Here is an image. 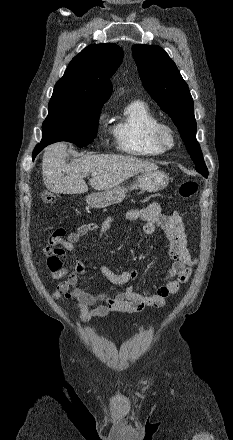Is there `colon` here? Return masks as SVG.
Here are the masks:
<instances>
[{
    "label": "colon",
    "mask_w": 233,
    "mask_h": 440,
    "mask_svg": "<svg viewBox=\"0 0 233 440\" xmlns=\"http://www.w3.org/2000/svg\"><path fill=\"white\" fill-rule=\"evenodd\" d=\"M198 190V184L195 180H185L179 186V195L182 198H191L193 197ZM42 200L45 203H53L54 196L49 192H44L42 194Z\"/></svg>",
    "instance_id": "5ec220e1"
}]
</instances>
